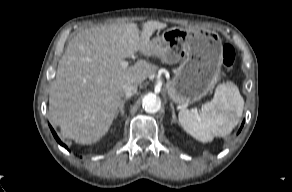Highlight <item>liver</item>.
I'll list each match as a JSON object with an SVG mask.
<instances>
[{"label":"liver","mask_w":292,"mask_h":192,"mask_svg":"<svg viewBox=\"0 0 292 192\" xmlns=\"http://www.w3.org/2000/svg\"><path fill=\"white\" fill-rule=\"evenodd\" d=\"M96 25L78 32L58 63L49 93V117L65 138L92 144L109 130L126 83L141 85L158 67L139 60L127 68L124 58L140 52L152 56L150 37L166 23Z\"/></svg>","instance_id":"liver-1"}]
</instances>
